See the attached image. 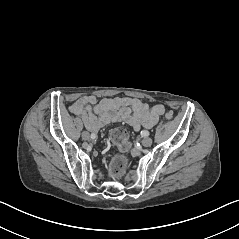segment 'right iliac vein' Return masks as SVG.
Returning a JSON list of instances; mask_svg holds the SVG:
<instances>
[{
    "mask_svg": "<svg viewBox=\"0 0 239 239\" xmlns=\"http://www.w3.org/2000/svg\"><path fill=\"white\" fill-rule=\"evenodd\" d=\"M89 137H90V135L87 131L82 132V139L83 140H89Z\"/></svg>",
    "mask_w": 239,
    "mask_h": 239,
    "instance_id": "right-iliac-vein-1",
    "label": "right iliac vein"
}]
</instances>
